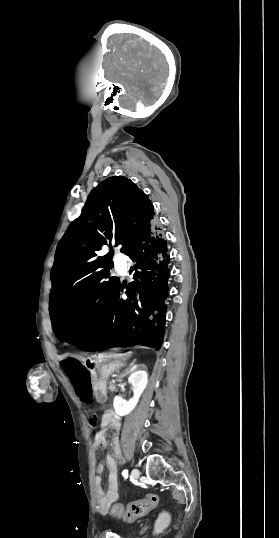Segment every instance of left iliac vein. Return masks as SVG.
<instances>
[{"instance_id": "1", "label": "left iliac vein", "mask_w": 279, "mask_h": 538, "mask_svg": "<svg viewBox=\"0 0 279 538\" xmlns=\"http://www.w3.org/2000/svg\"><path fill=\"white\" fill-rule=\"evenodd\" d=\"M133 479L137 480L140 476V471L137 468H134L131 472Z\"/></svg>"}]
</instances>
